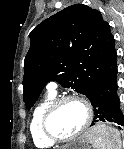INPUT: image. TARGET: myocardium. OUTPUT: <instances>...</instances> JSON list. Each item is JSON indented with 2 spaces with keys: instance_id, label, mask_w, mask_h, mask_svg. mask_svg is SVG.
<instances>
[{
  "instance_id": "1",
  "label": "myocardium",
  "mask_w": 124,
  "mask_h": 149,
  "mask_svg": "<svg viewBox=\"0 0 124 149\" xmlns=\"http://www.w3.org/2000/svg\"><path fill=\"white\" fill-rule=\"evenodd\" d=\"M68 101H76L79 102L80 104L83 105L86 111V118L83 126L80 128L79 131L74 133L73 135L67 136V137H58L56 136L50 129V120L56 111V109L63 103L68 102ZM93 121V108L91 103L86 100L85 98L77 95H66V96H61L57 99H55L47 108L46 112L44 113L43 120H42V131L44 135L51 141L55 143H65L72 141L82 134H84L89 127L91 126Z\"/></svg>"
}]
</instances>
